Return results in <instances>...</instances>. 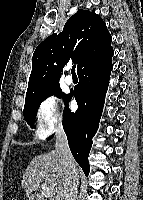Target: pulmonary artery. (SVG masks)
Returning <instances> with one entry per match:
<instances>
[{"instance_id": "1", "label": "pulmonary artery", "mask_w": 143, "mask_h": 200, "mask_svg": "<svg viewBox=\"0 0 143 200\" xmlns=\"http://www.w3.org/2000/svg\"><path fill=\"white\" fill-rule=\"evenodd\" d=\"M65 83H66L67 85H72V84H73V79H72V77H71L70 75H67V76L65 77Z\"/></svg>"}]
</instances>
